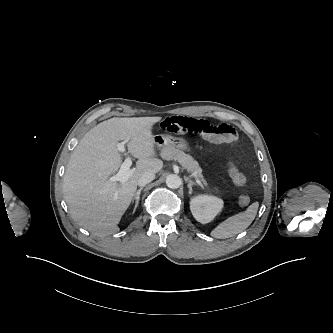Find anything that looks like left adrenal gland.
Returning a JSON list of instances; mask_svg holds the SVG:
<instances>
[{"mask_svg": "<svg viewBox=\"0 0 333 333\" xmlns=\"http://www.w3.org/2000/svg\"><path fill=\"white\" fill-rule=\"evenodd\" d=\"M185 181L188 183V188H189V194H192V186L193 185H197L196 183H194L192 180H190L189 178H185Z\"/></svg>", "mask_w": 333, "mask_h": 333, "instance_id": "obj_1", "label": "left adrenal gland"}]
</instances>
